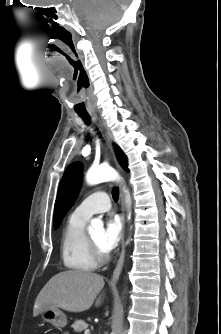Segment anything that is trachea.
<instances>
[{
  "mask_svg": "<svg viewBox=\"0 0 221 334\" xmlns=\"http://www.w3.org/2000/svg\"><path fill=\"white\" fill-rule=\"evenodd\" d=\"M80 117L85 121V123H89V116L87 115H80ZM112 197L115 201L119 198V190L117 188H114L112 190Z\"/></svg>",
  "mask_w": 221,
  "mask_h": 334,
  "instance_id": "trachea-1",
  "label": "trachea"
}]
</instances>
